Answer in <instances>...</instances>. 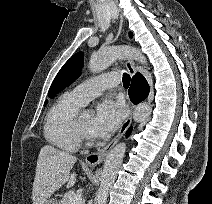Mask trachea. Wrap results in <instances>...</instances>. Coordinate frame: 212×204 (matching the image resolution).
Here are the masks:
<instances>
[{"label": "trachea", "mask_w": 212, "mask_h": 204, "mask_svg": "<svg viewBox=\"0 0 212 204\" xmlns=\"http://www.w3.org/2000/svg\"><path fill=\"white\" fill-rule=\"evenodd\" d=\"M123 86L124 88H128L130 85V76L127 73H123Z\"/></svg>", "instance_id": "3493384b"}]
</instances>
